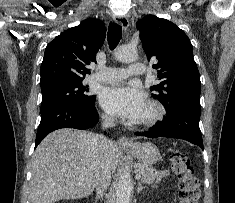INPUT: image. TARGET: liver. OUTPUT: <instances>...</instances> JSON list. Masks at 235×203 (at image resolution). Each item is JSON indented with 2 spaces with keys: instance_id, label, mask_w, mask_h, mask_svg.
Here are the masks:
<instances>
[{
  "instance_id": "6515ba94",
  "label": "liver",
  "mask_w": 235,
  "mask_h": 203,
  "mask_svg": "<svg viewBox=\"0 0 235 203\" xmlns=\"http://www.w3.org/2000/svg\"><path fill=\"white\" fill-rule=\"evenodd\" d=\"M96 134L63 128L50 133L36 148L32 161V203H55L89 196L96 187L102 162L114 173L120 150L110 142L106 152Z\"/></svg>"
}]
</instances>
